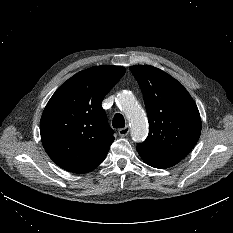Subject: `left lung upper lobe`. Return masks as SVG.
Wrapping results in <instances>:
<instances>
[{
    "label": "left lung upper lobe",
    "instance_id": "5c2ea615",
    "mask_svg": "<svg viewBox=\"0 0 233 233\" xmlns=\"http://www.w3.org/2000/svg\"><path fill=\"white\" fill-rule=\"evenodd\" d=\"M136 78L149 121L142 150L164 157L183 159L195 146L201 133L198 108L187 90L164 71L148 65H135Z\"/></svg>",
    "mask_w": 233,
    "mask_h": 233
}]
</instances>
